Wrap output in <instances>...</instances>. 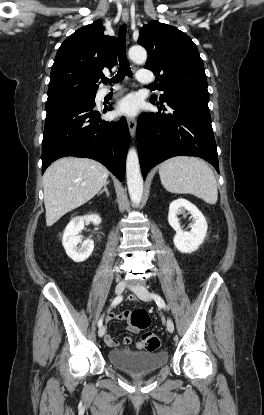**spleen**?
Wrapping results in <instances>:
<instances>
[{
	"instance_id": "3e777b00",
	"label": "spleen",
	"mask_w": 264,
	"mask_h": 415,
	"mask_svg": "<svg viewBox=\"0 0 264 415\" xmlns=\"http://www.w3.org/2000/svg\"><path fill=\"white\" fill-rule=\"evenodd\" d=\"M159 175L164 188L171 193L192 194L209 204L218 198L213 171L196 157L178 156L160 164Z\"/></svg>"
}]
</instances>
